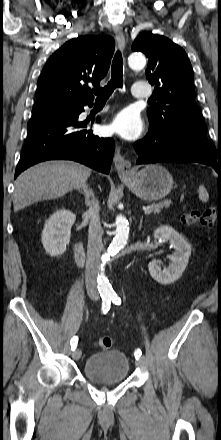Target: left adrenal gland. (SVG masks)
<instances>
[{
    "mask_svg": "<svg viewBox=\"0 0 221 440\" xmlns=\"http://www.w3.org/2000/svg\"><path fill=\"white\" fill-rule=\"evenodd\" d=\"M141 225H142V220H140V225H139V227H141Z\"/></svg>",
    "mask_w": 221,
    "mask_h": 440,
    "instance_id": "a2214340",
    "label": "left adrenal gland"
}]
</instances>
